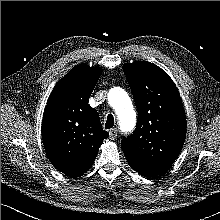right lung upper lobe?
Listing matches in <instances>:
<instances>
[{
	"instance_id": "cb5924a9",
	"label": "right lung upper lobe",
	"mask_w": 220,
	"mask_h": 220,
	"mask_svg": "<svg viewBox=\"0 0 220 220\" xmlns=\"http://www.w3.org/2000/svg\"><path fill=\"white\" fill-rule=\"evenodd\" d=\"M101 73V68L86 64L74 67L56 84L45 107L41 131L47 157L70 177L91 168L109 136L88 104Z\"/></svg>"
}]
</instances>
